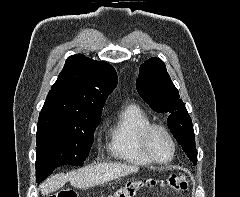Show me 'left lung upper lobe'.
Returning <instances> with one entry per match:
<instances>
[{
    "label": "left lung upper lobe",
    "instance_id": "5c2ea615",
    "mask_svg": "<svg viewBox=\"0 0 240 197\" xmlns=\"http://www.w3.org/2000/svg\"><path fill=\"white\" fill-rule=\"evenodd\" d=\"M136 88L151 109L170 114L167 119L168 127L183 151L196 165L197 150L191 118L179 99V92L171 81L164 62L157 57L145 61L140 66Z\"/></svg>",
    "mask_w": 240,
    "mask_h": 197
}]
</instances>
